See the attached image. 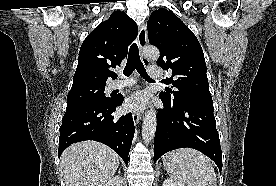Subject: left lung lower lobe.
<instances>
[{
  "mask_svg": "<svg viewBox=\"0 0 276 186\" xmlns=\"http://www.w3.org/2000/svg\"><path fill=\"white\" fill-rule=\"evenodd\" d=\"M164 108L157 114L154 162L168 151L193 148L211 158L222 170V152L213 104L176 107L160 94Z\"/></svg>",
  "mask_w": 276,
  "mask_h": 186,
  "instance_id": "0a47b994",
  "label": "left lung lower lobe"
}]
</instances>
